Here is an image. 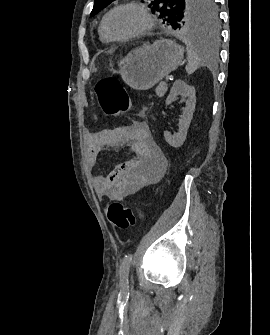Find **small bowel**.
I'll return each mask as SVG.
<instances>
[{"label": "small bowel", "mask_w": 270, "mask_h": 335, "mask_svg": "<svg viewBox=\"0 0 270 335\" xmlns=\"http://www.w3.org/2000/svg\"><path fill=\"white\" fill-rule=\"evenodd\" d=\"M111 134L117 137L119 144H128L135 157L118 164L111 172L95 177L93 184L99 194L121 201L158 181L167 167V160L145 122L122 126ZM105 139L103 132L89 134L88 162L91 166L97 164L101 150L108 145Z\"/></svg>", "instance_id": "small-bowel-1"}]
</instances>
